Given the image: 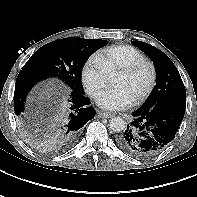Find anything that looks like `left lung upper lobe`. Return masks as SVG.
Segmentation results:
<instances>
[{
	"label": "left lung upper lobe",
	"instance_id": "1",
	"mask_svg": "<svg viewBox=\"0 0 197 197\" xmlns=\"http://www.w3.org/2000/svg\"><path fill=\"white\" fill-rule=\"evenodd\" d=\"M132 44L141 49L153 61L156 69V85L141 108H151L167 97L186 95L181 76L167 55L142 41H132Z\"/></svg>",
	"mask_w": 197,
	"mask_h": 197
}]
</instances>
